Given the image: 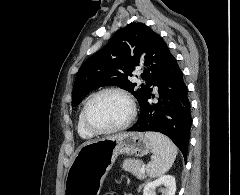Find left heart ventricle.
I'll list each match as a JSON object with an SVG mask.
<instances>
[{"label":"left heart ventricle","instance_id":"b2bd125f","mask_svg":"<svg viewBox=\"0 0 240 195\" xmlns=\"http://www.w3.org/2000/svg\"><path fill=\"white\" fill-rule=\"evenodd\" d=\"M130 115V105L125 97L107 93L97 98L89 109L90 123L100 129L118 126Z\"/></svg>","mask_w":240,"mask_h":195}]
</instances>
